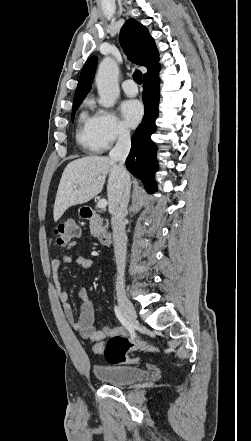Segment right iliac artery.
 <instances>
[{
	"label": "right iliac artery",
	"instance_id": "right-iliac-artery-1",
	"mask_svg": "<svg viewBox=\"0 0 251 441\" xmlns=\"http://www.w3.org/2000/svg\"><path fill=\"white\" fill-rule=\"evenodd\" d=\"M114 311H115V315L118 318V320L129 331V333L131 334V338L133 339L135 337V332H134L133 326L129 323V321L123 315L119 306H115Z\"/></svg>",
	"mask_w": 251,
	"mask_h": 441
}]
</instances>
